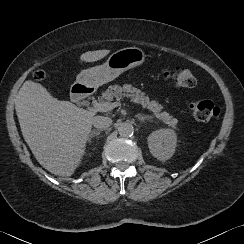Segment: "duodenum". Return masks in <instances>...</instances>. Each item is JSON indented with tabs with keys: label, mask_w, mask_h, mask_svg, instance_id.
Instances as JSON below:
<instances>
[{
	"label": "duodenum",
	"mask_w": 244,
	"mask_h": 244,
	"mask_svg": "<svg viewBox=\"0 0 244 244\" xmlns=\"http://www.w3.org/2000/svg\"><path fill=\"white\" fill-rule=\"evenodd\" d=\"M92 89L84 84H76L72 88L71 97L77 103L87 102L91 96Z\"/></svg>",
	"instance_id": "duodenum-1"
}]
</instances>
